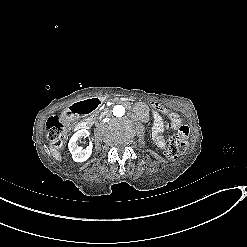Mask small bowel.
<instances>
[{
  "mask_svg": "<svg viewBox=\"0 0 247 247\" xmlns=\"http://www.w3.org/2000/svg\"><path fill=\"white\" fill-rule=\"evenodd\" d=\"M154 118H155V120H159L160 119V117L155 116V115H154ZM169 118H170V121H171L170 123H171V129L172 130H179V128L181 126H183L182 122H181V119H180V116L178 114L170 113L169 114ZM154 140H155V143H156L158 148H160V149H164L165 148L166 140H165L164 136L161 133H156L154 135Z\"/></svg>",
  "mask_w": 247,
  "mask_h": 247,
  "instance_id": "obj_1",
  "label": "small bowel"
}]
</instances>
